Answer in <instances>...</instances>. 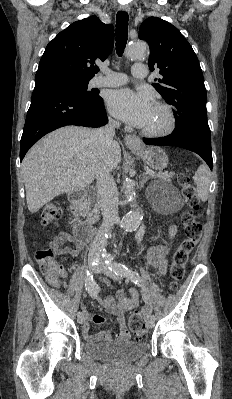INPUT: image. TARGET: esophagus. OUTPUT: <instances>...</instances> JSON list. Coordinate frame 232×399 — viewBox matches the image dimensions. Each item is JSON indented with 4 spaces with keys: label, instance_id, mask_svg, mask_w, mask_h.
Listing matches in <instances>:
<instances>
[{
    "label": "esophagus",
    "instance_id": "34e87169",
    "mask_svg": "<svg viewBox=\"0 0 232 399\" xmlns=\"http://www.w3.org/2000/svg\"><path fill=\"white\" fill-rule=\"evenodd\" d=\"M119 10L128 12L130 10V6L128 3L119 6ZM125 143L127 147L130 149L139 148L141 146L142 140L138 135L129 134L125 136Z\"/></svg>",
    "mask_w": 232,
    "mask_h": 399
}]
</instances>
